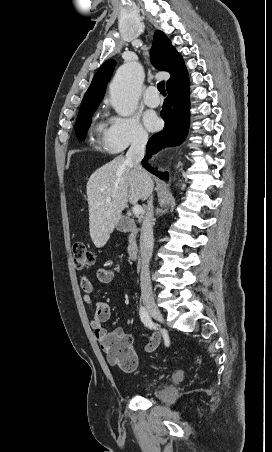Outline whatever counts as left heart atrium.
<instances>
[{
  "label": "left heart atrium",
  "mask_w": 272,
  "mask_h": 452,
  "mask_svg": "<svg viewBox=\"0 0 272 452\" xmlns=\"http://www.w3.org/2000/svg\"><path fill=\"white\" fill-rule=\"evenodd\" d=\"M144 122L150 131H156L161 126V120L155 113H147L144 117Z\"/></svg>",
  "instance_id": "1"
}]
</instances>
